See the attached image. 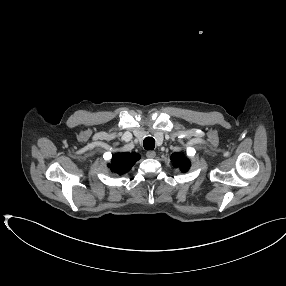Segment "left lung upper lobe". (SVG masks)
<instances>
[{
  "label": "left lung upper lobe",
  "mask_w": 286,
  "mask_h": 286,
  "mask_svg": "<svg viewBox=\"0 0 286 286\" xmlns=\"http://www.w3.org/2000/svg\"><path fill=\"white\" fill-rule=\"evenodd\" d=\"M171 161L173 162L174 167L181 168L182 172H187L190 168L189 160L181 153H173L171 155Z\"/></svg>",
  "instance_id": "5c2ea615"
}]
</instances>
